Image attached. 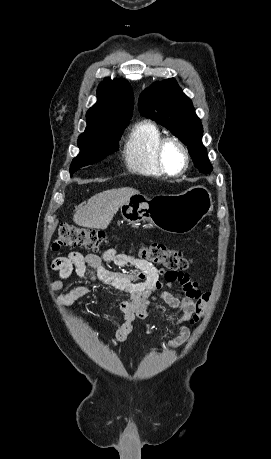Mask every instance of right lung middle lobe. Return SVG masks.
I'll return each instance as SVG.
<instances>
[{"instance_id": "right-lung-middle-lobe-1", "label": "right lung middle lobe", "mask_w": 271, "mask_h": 459, "mask_svg": "<svg viewBox=\"0 0 271 459\" xmlns=\"http://www.w3.org/2000/svg\"><path fill=\"white\" fill-rule=\"evenodd\" d=\"M129 120H96L87 122L85 132L78 138L79 155L73 159L70 174L96 163L118 150V140Z\"/></svg>"}]
</instances>
